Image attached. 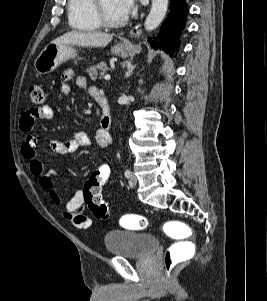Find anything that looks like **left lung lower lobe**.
Instances as JSON below:
<instances>
[{
    "mask_svg": "<svg viewBox=\"0 0 267 301\" xmlns=\"http://www.w3.org/2000/svg\"><path fill=\"white\" fill-rule=\"evenodd\" d=\"M188 8L186 0H170V13L157 37L150 40L154 49H163L171 56L179 47L180 32L184 29Z\"/></svg>",
    "mask_w": 267,
    "mask_h": 301,
    "instance_id": "obj_1",
    "label": "left lung lower lobe"
}]
</instances>
